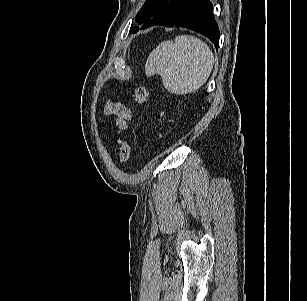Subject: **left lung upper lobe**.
Listing matches in <instances>:
<instances>
[{
    "label": "left lung upper lobe",
    "mask_w": 307,
    "mask_h": 301,
    "mask_svg": "<svg viewBox=\"0 0 307 301\" xmlns=\"http://www.w3.org/2000/svg\"><path fill=\"white\" fill-rule=\"evenodd\" d=\"M179 0H146L139 10L136 21L143 24L142 28H147L155 24L164 17ZM139 27H133L130 32L136 33Z\"/></svg>",
    "instance_id": "obj_1"
}]
</instances>
